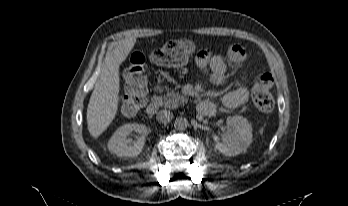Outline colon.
<instances>
[{
    "label": "colon",
    "instance_id": "1",
    "mask_svg": "<svg viewBox=\"0 0 348 206\" xmlns=\"http://www.w3.org/2000/svg\"><path fill=\"white\" fill-rule=\"evenodd\" d=\"M188 56L189 46L185 41L171 40L153 50L150 58L158 66L179 67L187 61ZM124 78L126 90L121 101V109L127 115H134L143 108L146 101L147 70L146 57L143 53L135 52L130 55ZM272 85L273 78L270 74L261 73L253 77L252 100L262 112H269L274 107Z\"/></svg>",
    "mask_w": 348,
    "mask_h": 206
}]
</instances>
